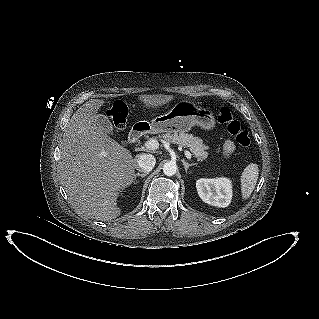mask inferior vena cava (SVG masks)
Segmentation results:
<instances>
[{"label": "inferior vena cava", "mask_w": 319, "mask_h": 319, "mask_svg": "<svg viewBox=\"0 0 319 319\" xmlns=\"http://www.w3.org/2000/svg\"><path fill=\"white\" fill-rule=\"evenodd\" d=\"M156 159L152 154H140L136 156V169L139 172L149 173L155 166Z\"/></svg>", "instance_id": "obj_1"}]
</instances>
